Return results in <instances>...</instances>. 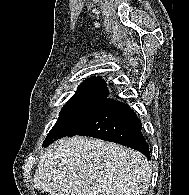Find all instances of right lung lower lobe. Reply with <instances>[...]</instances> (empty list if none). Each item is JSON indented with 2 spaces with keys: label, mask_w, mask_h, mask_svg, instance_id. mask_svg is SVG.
<instances>
[{
  "label": "right lung lower lobe",
  "mask_w": 189,
  "mask_h": 195,
  "mask_svg": "<svg viewBox=\"0 0 189 195\" xmlns=\"http://www.w3.org/2000/svg\"><path fill=\"white\" fill-rule=\"evenodd\" d=\"M141 127L140 119L127 104L106 99L76 132L68 136H89L116 142L138 150L150 159Z\"/></svg>",
  "instance_id": "1"
}]
</instances>
